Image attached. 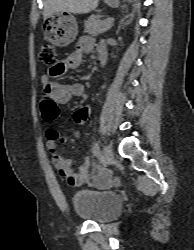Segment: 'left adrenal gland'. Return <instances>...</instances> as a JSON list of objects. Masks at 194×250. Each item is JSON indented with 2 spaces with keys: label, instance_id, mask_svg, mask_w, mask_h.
<instances>
[{
  "label": "left adrenal gland",
  "instance_id": "left-adrenal-gland-1",
  "mask_svg": "<svg viewBox=\"0 0 194 250\" xmlns=\"http://www.w3.org/2000/svg\"><path fill=\"white\" fill-rule=\"evenodd\" d=\"M126 17H128V15H127ZM126 17H125V18H126ZM123 24H124V19H122V20L120 21V24H119V26H118V29H117V31H116V34L119 33V31H120L121 27L123 26Z\"/></svg>",
  "mask_w": 194,
  "mask_h": 250
}]
</instances>
